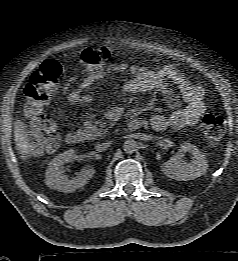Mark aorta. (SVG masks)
Segmentation results:
<instances>
[{
	"mask_svg": "<svg viewBox=\"0 0 238 261\" xmlns=\"http://www.w3.org/2000/svg\"><path fill=\"white\" fill-rule=\"evenodd\" d=\"M137 148V142L133 139H128L123 144V150L127 154H133Z\"/></svg>",
	"mask_w": 238,
	"mask_h": 261,
	"instance_id": "obj_1",
	"label": "aorta"
}]
</instances>
